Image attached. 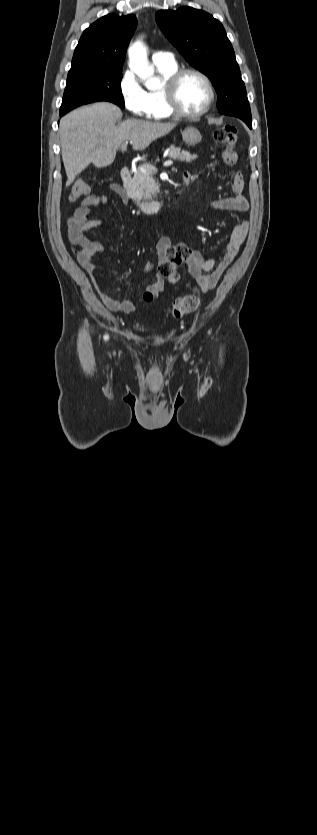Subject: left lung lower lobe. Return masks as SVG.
<instances>
[{
    "mask_svg": "<svg viewBox=\"0 0 317 835\" xmlns=\"http://www.w3.org/2000/svg\"><path fill=\"white\" fill-rule=\"evenodd\" d=\"M250 128H252L251 119H242Z\"/></svg>",
    "mask_w": 317,
    "mask_h": 835,
    "instance_id": "1",
    "label": "left lung lower lobe"
}]
</instances>
